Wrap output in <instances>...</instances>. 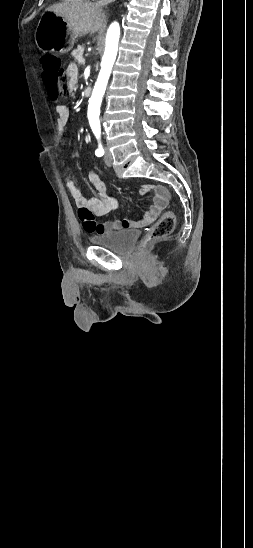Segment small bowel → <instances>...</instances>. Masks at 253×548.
<instances>
[{
  "mask_svg": "<svg viewBox=\"0 0 253 548\" xmlns=\"http://www.w3.org/2000/svg\"><path fill=\"white\" fill-rule=\"evenodd\" d=\"M66 74L70 79V87L73 88L77 82L78 70L74 64H70L66 69ZM57 112V132L61 137L66 129L70 111L65 105L58 104ZM88 180L96 191V195L90 199L85 197L81 190L75 185L72 179H68L66 187L74 199L76 205L80 208L78 216L85 230L94 234H102L122 228L141 227L153 222L160 212L168 205L170 193L167 188L158 185H143L139 191L141 196L153 194V204L146 213L135 220L122 219L105 223H97L94 216L100 217L117 207L115 198L107 193V186L100 175L94 171L88 174Z\"/></svg>",
  "mask_w": 253,
  "mask_h": 548,
  "instance_id": "small-bowel-1",
  "label": "small bowel"
}]
</instances>
